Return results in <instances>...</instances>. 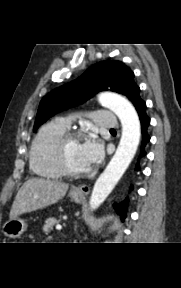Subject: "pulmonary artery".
Wrapping results in <instances>:
<instances>
[{"label": "pulmonary artery", "instance_id": "obj_1", "mask_svg": "<svg viewBox=\"0 0 181 288\" xmlns=\"http://www.w3.org/2000/svg\"><path fill=\"white\" fill-rule=\"evenodd\" d=\"M93 122L102 128L112 129L117 127V118L114 113L105 110H96L92 113ZM59 122L68 129L70 127V119H60Z\"/></svg>", "mask_w": 181, "mask_h": 288}]
</instances>
